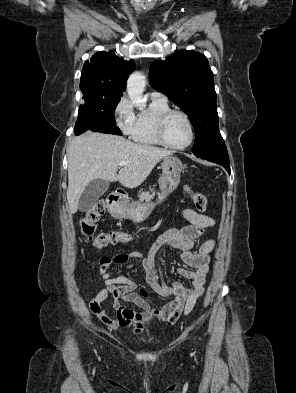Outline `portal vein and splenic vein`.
Masks as SVG:
<instances>
[{
	"instance_id": "1",
	"label": "portal vein and splenic vein",
	"mask_w": 296,
	"mask_h": 393,
	"mask_svg": "<svg viewBox=\"0 0 296 393\" xmlns=\"http://www.w3.org/2000/svg\"><path fill=\"white\" fill-rule=\"evenodd\" d=\"M126 164H127L126 161H120V162H119V166H120V167H123V166H125Z\"/></svg>"
}]
</instances>
